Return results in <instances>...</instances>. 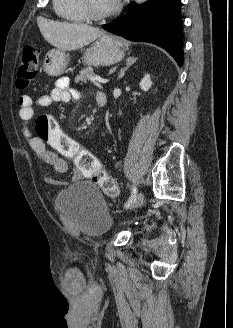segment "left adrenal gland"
<instances>
[{
	"instance_id": "left-adrenal-gland-1",
	"label": "left adrenal gland",
	"mask_w": 233,
	"mask_h": 328,
	"mask_svg": "<svg viewBox=\"0 0 233 328\" xmlns=\"http://www.w3.org/2000/svg\"><path fill=\"white\" fill-rule=\"evenodd\" d=\"M137 58H133V57H129L126 60V67L122 68L118 74V80H120L122 77H124L125 72L129 69V67H131L135 62H136Z\"/></svg>"
}]
</instances>
